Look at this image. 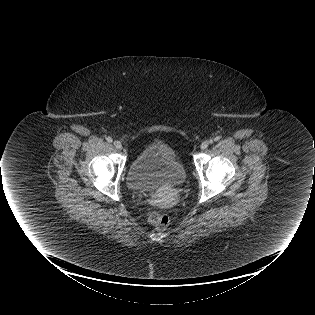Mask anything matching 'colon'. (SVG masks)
Masks as SVG:
<instances>
[{
  "label": "colon",
  "mask_w": 315,
  "mask_h": 315,
  "mask_svg": "<svg viewBox=\"0 0 315 315\" xmlns=\"http://www.w3.org/2000/svg\"><path fill=\"white\" fill-rule=\"evenodd\" d=\"M148 221L158 230H164L168 228L170 224V218L163 212L151 211L147 213Z\"/></svg>",
  "instance_id": "5ec220e1"
}]
</instances>
